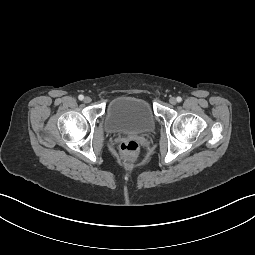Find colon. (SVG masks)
I'll list each match as a JSON object with an SVG mask.
<instances>
[{"instance_id": "obj_1", "label": "colon", "mask_w": 255, "mask_h": 255, "mask_svg": "<svg viewBox=\"0 0 255 255\" xmlns=\"http://www.w3.org/2000/svg\"><path fill=\"white\" fill-rule=\"evenodd\" d=\"M122 157L127 161H133L138 155L140 143L136 139H124L119 145Z\"/></svg>"}]
</instances>
